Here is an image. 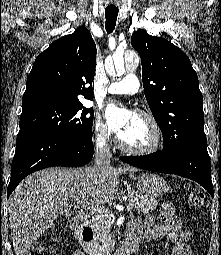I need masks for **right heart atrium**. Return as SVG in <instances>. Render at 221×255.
Instances as JSON below:
<instances>
[{"instance_id": "1", "label": "right heart atrium", "mask_w": 221, "mask_h": 255, "mask_svg": "<svg viewBox=\"0 0 221 255\" xmlns=\"http://www.w3.org/2000/svg\"><path fill=\"white\" fill-rule=\"evenodd\" d=\"M109 139V134L105 124L97 119L95 122V133H94V143L97 147L103 148L107 146Z\"/></svg>"}]
</instances>
